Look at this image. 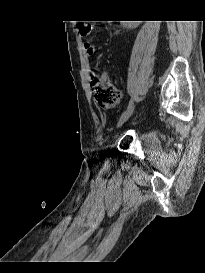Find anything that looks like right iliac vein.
I'll return each mask as SVG.
<instances>
[{
  "instance_id": "obj_1",
  "label": "right iliac vein",
  "mask_w": 205,
  "mask_h": 273,
  "mask_svg": "<svg viewBox=\"0 0 205 273\" xmlns=\"http://www.w3.org/2000/svg\"><path fill=\"white\" fill-rule=\"evenodd\" d=\"M134 111V106L130 107L129 109L125 110L122 115L120 116L118 123H117V128H120L133 114Z\"/></svg>"
}]
</instances>
